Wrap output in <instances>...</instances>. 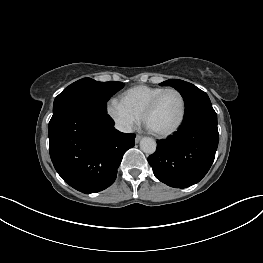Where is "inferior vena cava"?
Returning a JSON list of instances; mask_svg holds the SVG:
<instances>
[{
  "mask_svg": "<svg viewBox=\"0 0 263 263\" xmlns=\"http://www.w3.org/2000/svg\"><path fill=\"white\" fill-rule=\"evenodd\" d=\"M115 127H116V129H118L119 131L124 132V133H131L132 132L131 126L127 125V124H117Z\"/></svg>",
  "mask_w": 263,
  "mask_h": 263,
  "instance_id": "602c4592",
  "label": "inferior vena cava"
}]
</instances>
